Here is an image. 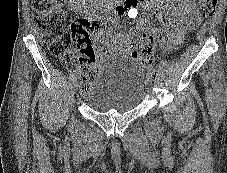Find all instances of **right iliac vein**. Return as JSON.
<instances>
[{"instance_id": "1", "label": "right iliac vein", "mask_w": 227, "mask_h": 173, "mask_svg": "<svg viewBox=\"0 0 227 173\" xmlns=\"http://www.w3.org/2000/svg\"><path fill=\"white\" fill-rule=\"evenodd\" d=\"M77 85H78V80H77V78H75L74 80H73V84H72V87H73V91L75 92V90H76V88H77Z\"/></svg>"}]
</instances>
